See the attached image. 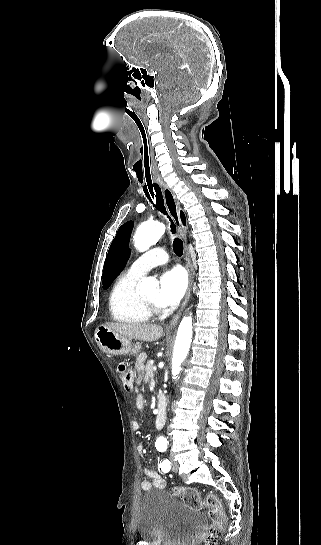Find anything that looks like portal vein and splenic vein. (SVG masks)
<instances>
[{"label":"portal vein and splenic vein","mask_w":321,"mask_h":545,"mask_svg":"<svg viewBox=\"0 0 321 545\" xmlns=\"http://www.w3.org/2000/svg\"><path fill=\"white\" fill-rule=\"evenodd\" d=\"M153 371H157L156 365H153Z\"/></svg>","instance_id":"obj_1"}]
</instances>
